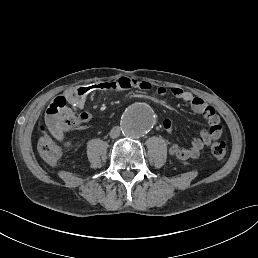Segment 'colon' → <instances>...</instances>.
<instances>
[{
	"label": "colon",
	"mask_w": 258,
	"mask_h": 258,
	"mask_svg": "<svg viewBox=\"0 0 258 258\" xmlns=\"http://www.w3.org/2000/svg\"><path fill=\"white\" fill-rule=\"evenodd\" d=\"M83 116L72 112H63L60 122L64 129L72 130L83 123ZM43 135L38 141V151L41 158L48 164L55 165L60 156L59 145L46 133L45 128H41ZM211 153L217 161H222L226 155V144L224 142H213L210 147Z\"/></svg>",
	"instance_id": "obj_1"
}]
</instances>
